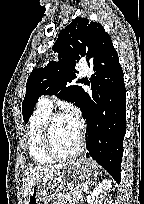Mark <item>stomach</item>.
I'll return each instance as SVG.
<instances>
[{
  "label": "stomach",
  "mask_w": 144,
  "mask_h": 204,
  "mask_svg": "<svg viewBox=\"0 0 144 204\" xmlns=\"http://www.w3.org/2000/svg\"><path fill=\"white\" fill-rule=\"evenodd\" d=\"M97 165L86 159H78L66 165L53 180L35 185L26 204H59L58 196L72 190L82 192L97 177Z\"/></svg>",
  "instance_id": "stomach-1"
}]
</instances>
